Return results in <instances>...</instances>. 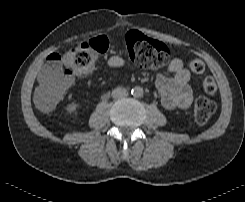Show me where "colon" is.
Listing matches in <instances>:
<instances>
[{
	"instance_id": "1",
	"label": "colon",
	"mask_w": 245,
	"mask_h": 202,
	"mask_svg": "<svg viewBox=\"0 0 245 202\" xmlns=\"http://www.w3.org/2000/svg\"><path fill=\"white\" fill-rule=\"evenodd\" d=\"M109 43L110 40L107 36L100 35L74 46L64 54H51L47 59V72L37 94L39 111L51 112L70 90L72 77L85 74L97 55L107 52ZM125 44L129 57L141 68L158 69L167 64L172 57L169 46L137 32L127 33ZM189 65L195 74L204 72V64L199 59H191ZM202 86L208 95H213L217 91L216 83L211 77L205 78ZM215 110L214 101L204 97L199 98L192 110L193 118L196 123L205 124Z\"/></svg>"
}]
</instances>
